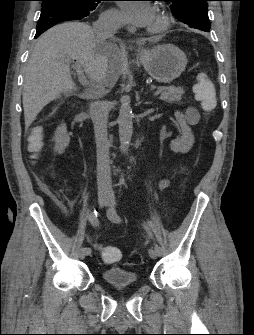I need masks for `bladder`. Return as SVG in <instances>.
Returning a JSON list of instances; mask_svg holds the SVG:
<instances>
[{"instance_id": "bladder-1", "label": "bladder", "mask_w": 254, "mask_h": 335, "mask_svg": "<svg viewBox=\"0 0 254 335\" xmlns=\"http://www.w3.org/2000/svg\"><path fill=\"white\" fill-rule=\"evenodd\" d=\"M102 276L106 284L116 290L134 287L137 284L136 273L122 267L108 268L103 271Z\"/></svg>"}]
</instances>
